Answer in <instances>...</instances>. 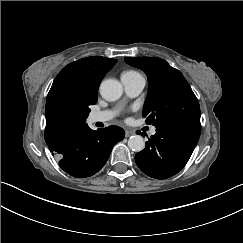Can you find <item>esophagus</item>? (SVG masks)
Here are the masks:
<instances>
[{
  "label": "esophagus",
  "mask_w": 243,
  "mask_h": 243,
  "mask_svg": "<svg viewBox=\"0 0 243 243\" xmlns=\"http://www.w3.org/2000/svg\"><path fill=\"white\" fill-rule=\"evenodd\" d=\"M135 133L133 132V131H130V130H126L125 131V137L126 138H129V137H131V136H133Z\"/></svg>",
  "instance_id": "1"
}]
</instances>
